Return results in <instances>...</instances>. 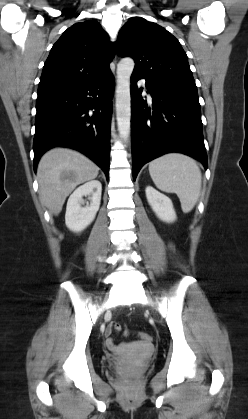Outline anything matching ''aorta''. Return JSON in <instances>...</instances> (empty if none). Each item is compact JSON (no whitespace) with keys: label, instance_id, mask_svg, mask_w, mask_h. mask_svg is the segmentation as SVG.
I'll return each mask as SVG.
<instances>
[{"label":"aorta","instance_id":"1","mask_svg":"<svg viewBox=\"0 0 248 419\" xmlns=\"http://www.w3.org/2000/svg\"><path fill=\"white\" fill-rule=\"evenodd\" d=\"M134 65V60L130 57L121 59L117 65L116 119L119 133L124 141L128 139L130 134V77L133 72Z\"/></svg>","mask_w":248,"mask_h":419}]
</instances>
